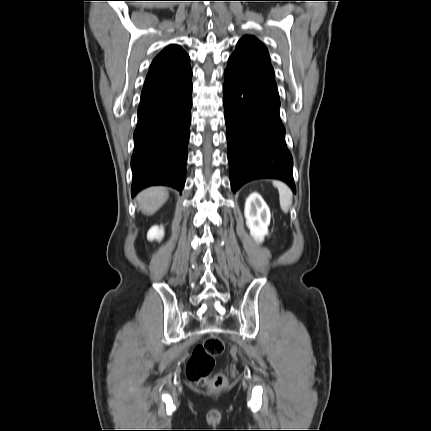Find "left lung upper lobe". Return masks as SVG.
<instances>
[{
    "label": "left lung upper lobe",
    "instance_id": "5c2ea615",
    "mask_svg": "<svg viewBox=\"0 0 431 431\" xmlns=\"http://www.w3.org/2000/svg\"><path fill=\"white\" fill-rule=\"evenodd\" d=\"M228 66L265 77L275 82L266 47L254 36H244L228 60Z\"/></svg>",
    "mask_w": 431,
    "mask_h": 431
}]
</instances>
